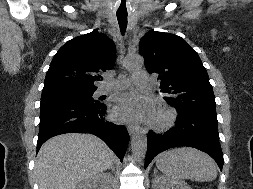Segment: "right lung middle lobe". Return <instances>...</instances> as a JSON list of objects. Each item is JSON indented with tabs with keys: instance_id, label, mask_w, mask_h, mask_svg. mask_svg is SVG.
Listing matches in <instances>:
<instances>
[{
	"instance_id": "dd1d6c3e",
	"label": "right lung middle lobe",
	"mask_w": 253,
	"mask_h": 189,
	"mask_svg": "<svg viewBox=\"0 0 253 189\" xmlns=\"http://www.w3.org/2000/svg\"><path fill=\"white\" fill-rule=\"evenodd\" d=\"M95 90L93 89H52L42 92L41 101L63 99L74 100L81 102H91L94 100L92 95Z\"/></svg>"
}]
</instances>
